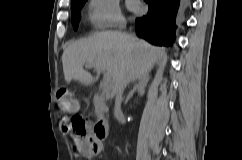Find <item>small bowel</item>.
I'll list each match as a JSON object with an SVG mask.
<instances>
[{"label": "small bowel", "mask_w": 242, "mask_h": 160, "mask_svg": "<svg viewBox=\"0 0 242 160\" xmlns=\"http://www.w3.org/2000/svg\"><path fill=\"white\" fill-rule=\"evenodd\" d=\"M93 141L96 140L92 136L90 125L87 124L85 135L83 137L75 138L74 145L79 154H81L84 157H89L88 152L91 149V142Z\"/></svg>", "instance_id": "c3829d8e"}]
</instances>
